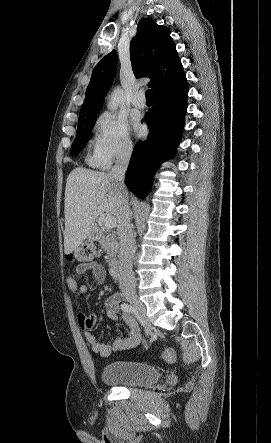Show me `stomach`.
Here are the masks:
<instances>
[{
	"instance_id": "obj_1",
	"label": "stomach",
	"mask_w": 271,
	"mask_h": 443,
	"mask_svg": "<svg viewBox=\"0 0 271 443\" xmlns=\"http://www.w3.org/2000/svg\"><path fill=\"white\" fill-rule=\"evenodd\" d=\"M100 237V233H99V229L98 227H93V231H91V233H89L88 235V239L89 241H97V239H99Z\"/></svg>"
}]
</instances>
